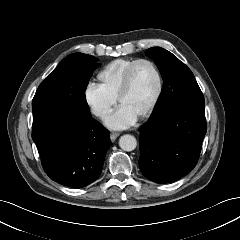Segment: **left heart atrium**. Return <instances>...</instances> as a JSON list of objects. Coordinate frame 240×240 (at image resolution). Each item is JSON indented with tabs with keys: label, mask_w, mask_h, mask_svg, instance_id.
Here are the masks:
<instances>
[{
	"label": "left heart atrium",
	"mask_w": 240,
	"mask_h": 240,
	"mask_svg": "<svg viewBox=\"0 0 240 240\" xmlns=\"http://www.w3.org/2000/svg\"><path fill=\"white\" fill-rule=\"evenodd\" d=\"M136 120L137 116L121 105L106 118L105 124L112 129H125L132 126Z\"/></svg>",
	"instance_id": "obj_1"
}]
</instances>
